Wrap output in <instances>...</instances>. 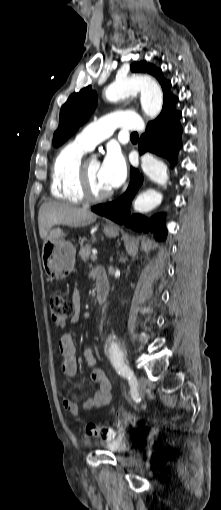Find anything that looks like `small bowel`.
I'll return each instance as SVG.
<instances>
[{"label":"small bowel","mask_w":221,"mask_h":510,"mask_svg":"<svg viewBox=\"0 0 221 510\" xmlns=\"http://www.w3.org/2000/svg\"><path fill=\"white\" fill-rule=\"evenodd\" d=\"M74 306V314L71 318L72 323H76L79 319L80 313V293L74 290L72 295ZM58 348L62 356L61 369L65 375L72 376L77 372V357L74 338L71 334H63L58 341ZM86 364L91 367V378L98 384V389L95 391L92 398L80 402L74 393L65 396L63 406L73 415H78L82 409L86 412L93 411L109 403L113 394V384L104 370L96 367V358L94 351L90 348L85 349L83 353ZM116 424L118 427H123L125 421L117 415Z\"/></svg>","instance_id":"small-bowel-1"}]
</instances>
